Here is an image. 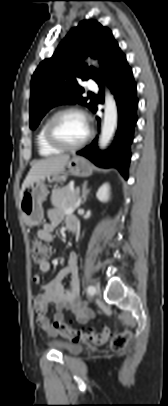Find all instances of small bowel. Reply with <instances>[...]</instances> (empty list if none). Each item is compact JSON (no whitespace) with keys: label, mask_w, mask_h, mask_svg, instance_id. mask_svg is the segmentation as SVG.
<instances>
[{"label":"small bowel","mask_w":168,"mask_h":406,"mask_svg":"<svg viewBox=\"0 0 168 406\" xmlns=\"http://www.w3.org/2000/svg\"><path fill=\"white\" fill-rule=\"evenodd\" d=\"M47 215L48 222L37 231V237L45 242L53 240V231L64 219L67 227L70 221H77L74 215L65 214L57 208H50ZM50 269L51 264L49 261L40 266L42 272H48ZM66 276L70 277L68 287L63 285V279ZM32 281L35 284H41V276L38 274L33 275ZM79 284L78 255L71 252L67 265L51 281L42 285V291L34 297L36 321L48 334L57 335V330L47 317L48 304L51 302L55 304V322L64 320V310H68L80 323H85L93 317V312L88 304L80 298Z\"/></svg>","instance_id":"small-bowel-1"}]
</instances>
